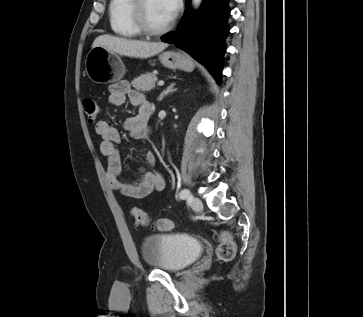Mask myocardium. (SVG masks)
<instances>
[{"label": "myocardium", "instance_id": "f54148a6", "mask_svg": "<svg viewBox=\"0 0 363 317\" xmlns=\"http://www.w3.org/2000/svg\"><path fill=\"white\" fill-rule=\"evenodd\" d=\"M146 0H132L130 6V17L135 28L146 36H159L163 35L172 27V21H169L165 26L161 28L150 27L145 19L144 7Z\"/></svg>", "mask_w": 363, "mask_h": 317}]
</instances>
